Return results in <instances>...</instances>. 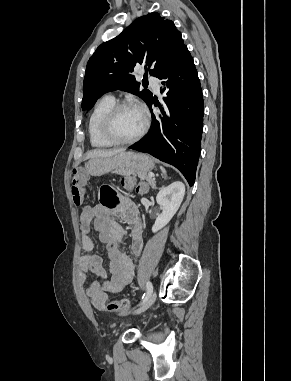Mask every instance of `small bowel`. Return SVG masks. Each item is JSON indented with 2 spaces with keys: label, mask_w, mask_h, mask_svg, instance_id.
I'll list each match as a JSON object with an SVG mask.
<instances>
[{
  "label": "small bowel",
  "mask_w": 291,
  "mask_h": 381,
  "mask_svg": "<svg viewBox=\"0 0 291 381\" xmlns=\"http://www.w3.org/2000/svg\"><path fill=\"white\" fill-rule=\"evenodd\" d=\"M117 199L116 193L111 188L101 190V199ZM118 213L130 227V248L133 254L139 255L143 248L141 222L139 213L132 202L123 197L121 202L106 205L102 202L94 206H85L80 216L81 244L86 254L79 259L80 278L85 281L87 275L97 277L90 282L86 289L92 306L97 310H104L109 295L114 294L128 286L134 276L133 260L121 249L120 244L124 240V228L112 220L111 216ZM94 222L95 229L99 233V239L106 245L107 258L109 260L110 279L102 264L99 255L94 254V243L90 237V225Z\"/></svg>",
  "instance_id": "obj_1"
}]
</instances>
